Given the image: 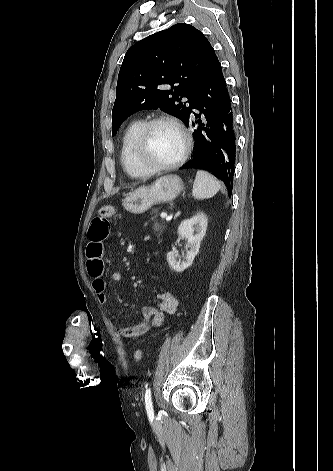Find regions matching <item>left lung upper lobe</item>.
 Returning a JSON list of instances; mask_svg holds the SVG:
<instances>
[{
	"mask_svg": "<svg viewBox=\"0 0 333 471\" xmlns=\"http://www.w3.org/2000/svg\"><path fill=\"white\" fill-rule=\"evenodd\" d=\"M215 59L204 34L185 23L131 46L118 75L112 135L130 115L144 109L159 108L187 124L197 90ZM183 97L188 101L181 102Z\"/></svg>",
	"mask_w": 333,
	"mask_h": 471,
	"instance_id": "left-lung-upper-lobe-1",
	"label": "left lung upper lobe"
}]
</instances>
